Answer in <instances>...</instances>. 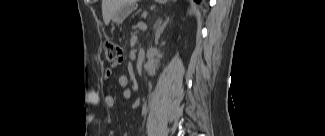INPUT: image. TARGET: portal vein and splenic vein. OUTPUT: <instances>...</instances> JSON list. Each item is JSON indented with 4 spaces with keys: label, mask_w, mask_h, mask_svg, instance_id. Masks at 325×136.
I'll return each mask as SVG.
<instances>
[{
    "label": "portal vein and splenic vein",
    "mask_w": 325,
    "mask_h": 136,
    "mask_svg": "<svg viewBox=\"0 0 325 136\" xmlns=\"http://www.w3.org/2000/svg\"><path fill=\"white\" fill-rule=\"evenodd\" d=\"M139 28L143 29L146 28L145 24L143 22L138 23Z\"/></svg>",
    "instance_id": "obj_1"
}]
</instances>
